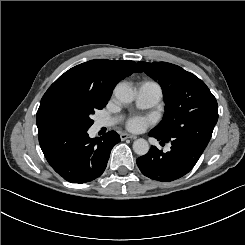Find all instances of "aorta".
Masks as SVG:
<instances>
[{
  "instance_id": "762f6f07",
  "label": "aorta",
  "mask_w": 245,
  "mask_h": 245,
  "mask_svg": "<svg viewBox=\"0 0 245 245\" xmlns=\"http://www.w3.org/2000/svg\"><path fill=\"white\" fill-rule=\"evenodd\" d=\"M114 95L122 103H130L135 98L132 88L125 83L118 84L115 87ZM133 150L137 155L143 156L148 153L149 144L145 139H137L133 143Z\"/></svg>"
}]
</instances>
